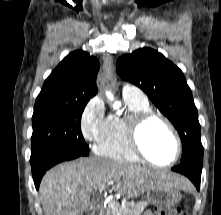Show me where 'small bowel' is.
Segmentation results:
<instances>
[{
    "label": "small bowel",
    "mask_w": 221,
    "mask_h": 215,
    "mask_svg": "<svg viewBox=\"0 0 221 215\" xmlns=\"http://www.w3.org/2000/svg\"><path fill=\"white\" fill-rule=\"evenodd\" d=\"M143 215H154L152 212H146Z\"/></svg>",
    "instance_id": "small-bowel-1"
}]
</instances>
